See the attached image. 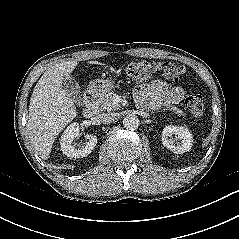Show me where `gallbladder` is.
Returning a JSON list of instances; mask_svg holds the SVG:
<instances>
[{
  "label": "gallbladder",
  "mask_w": 239,
  "mask_h": 239,
  "mask_svg": "<svg viewBox=\"0 0 239 239\" xmlns=\"http://www.w3.org/2000/svg\"><path fill=\"white\" fill-rule=\"evenodd\" d=\"M62 87L69 98L77 105H82V94L78 82L71 76L64 78Z\"/></svg>",
  "instance_id": "bac80fb5"
}]
</instances>
